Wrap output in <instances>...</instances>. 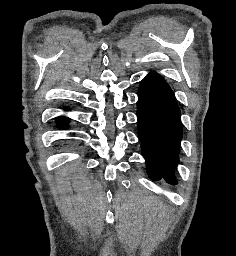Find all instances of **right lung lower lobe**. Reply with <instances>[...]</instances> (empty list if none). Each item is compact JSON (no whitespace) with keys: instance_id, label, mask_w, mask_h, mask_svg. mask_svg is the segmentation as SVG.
Masks as SVG:
<instances>
[{"instance_id":"1","label":"right lung lower lobe","mask_w":236,"mask_h":256,"mask_svg":"<svg viewBox=\"0 0 236 256\" xmlns=\"http://www.w3.org/2000/svg\"><path fill=\"white\" fill-rule=\"evenodd\" d=\"M68 118L66 117H60L58 120H57V123L63 128L67 125V122H68Z\"/></svg>"}]
</instances>
